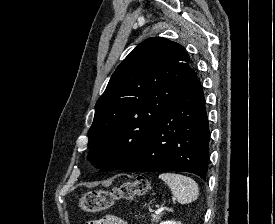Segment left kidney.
Instances as JSON below:
<instances>
[{
  "mask_svg": "<svg viewBox=\"0 0 275 224\" xmlns=\"http://www.w3.org/2000/svg\"><path fill=\"white\" fill-rule=\"evenodd\" d=\"M160 224H181L180 222H175V221H164V222H161Z\"/></svg>",
  "mask_w": 275,
  "mask_h": 224,
  "instance_id": "left-kidney-1",
  "label": "left kidney"
}]
</instances>
